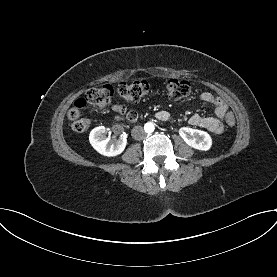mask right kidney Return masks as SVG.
<instances>
[{
    "label": "right kidney",
    "mask_w": 277,
    "mask_h": 277,
    "mask_svg": "<svg viewBox=\"0 0 277 277\" xmlns=\"http://www.w3.org/2000/svg\"><path fill=\"white\" fill-rule=\"evenodd\" d=\"M105 127L99 126L94 128L89 135V141L92 147L104 156H117L121 154L127 144L125 136H121L115 142H111L110 138L104 137Z\"/></svg>",
    "instance_id": "ca27d5eb"
}]
</instances>
